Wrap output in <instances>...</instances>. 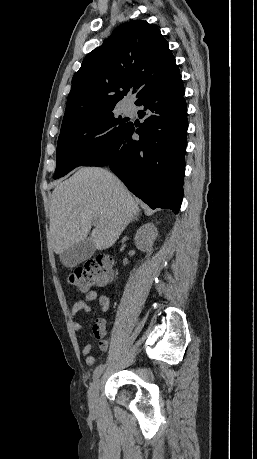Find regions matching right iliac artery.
<instances>
[{"instance_id":"obj_1","label":"right iliac artery","mask_w":257,"mask_h":459,"mask_svg":"<svg viewBox=\"0 0 257 459\" xmlns=\"http://www.w3.org/2000/svg\"><path fill=\"white\" fill-rule=\"evenodd\" d=\"M104 368H105V365H103V364H101L98 367H96V369L94 370V374H93V380H96L101 375V373L103 372Z\"/></svg>"}]
</instances>
